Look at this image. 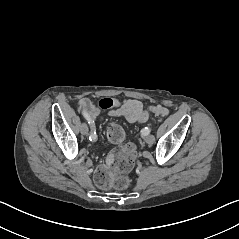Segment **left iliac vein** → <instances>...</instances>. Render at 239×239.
<instances>
[{
    "label": "left iliac vein",
    "instance_id": "4c4485c4",
    "mask_svg": "<svg viewBox=\"0 0 239 239\" xmlns=\"http://www.w3.org/2000/svg\"><path fill=\"white\" fill-rule=\"evenodd\" d=\"M145 141H146L147 144L151 145L155 142V137L153 135H148L145 138Z\"/></svg>",
    "mask_w": 239,
    "mask_h": 239
}]
</instances>
